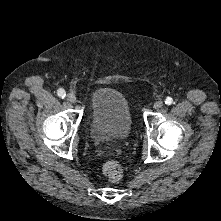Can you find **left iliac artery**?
Here are the masks:
<instances>
[{
	"label": "left iliac artery",
	"mask_w": 221,
	"mask_h": 221,
	"mask_svg": "<svg viewBox=\"0 0 221 221\" xmlns=\"http://www.w3.org/2000/svg\"><path fill=\"white\" fill-rule=\"evenodd\" d=\"M172 103H173V99H172L171 97H167V98L165 99V104L171 105Z\"/></svg>",
	"instance_id": "44dca946"
}]
</instances>
